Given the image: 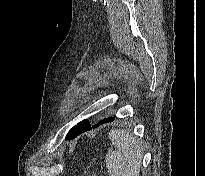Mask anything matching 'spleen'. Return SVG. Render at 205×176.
I'll return each instance as SVG.
<instances>
[{
    "label": "spleen",
    "instance_id": "1",
    "mask_svg": "<svg viewBox=\"0 0 205 176\" xmlns=\"http://www.w3.org/2000/svg\"><path fill=\"white\" fill-rule=\"evenodd\" d=\"M115 150H108L106 166L110 176H139L143 157L141 143L131 133L112 130L108 134Z\"/></svg>",
    "mask_w": 205,
    "mask_h": 176
}]
</instances>
